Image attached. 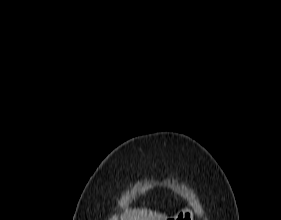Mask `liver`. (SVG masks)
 Returning a JSON list of instances; mask_svg holds the SVG:
<instances>
[{"instance_id":"6515ba94","label":"liver","mask_w":281,"mask_h":220,"mask_svg":"<svg viewBox=\"0 0 281 220\" xmlns=\"http://www.w3.org/2000/svg\"><path fill=\"white\" fill-rule=\"evenodd\" d=\"M165 214L157 213L156 211L144 209L126 210L121 215V220H166Z\"/></svg>"}]
</instances>
